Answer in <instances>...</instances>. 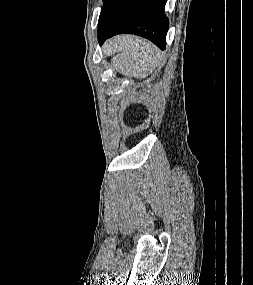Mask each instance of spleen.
<instances>
[{
  "mask_svg": "<svg viewBox=\"0 0 253 285\" xmlns=\"http://www.w3.org/2000/svg\"><path fill=\"white\" fill-rule=\"evenodd\" d=\"M112 49L119 51L111 66L126 77L143 79L164 63V55L147 40L123 35L111 43Z\"/></svg>",
  "mask_w": 253,
  "mask_h": 285,
  "instance_id": "obj_1",
  "label": "spleen"
}]
</instances>
